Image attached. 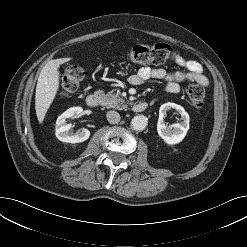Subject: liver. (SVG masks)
<instances>
[{
  "mask_svg": "<svg viewBox=\"0 0 247 247\" xmlns=\"http://www.w3.org/2000/svg\"><path fill=\"white\" fill-rule=\"evenodd\" d=\"M71 59V57H65L51 60L41 70L35 94V110L39 123L43 122L59 89V67Z\"/></svg>",
  "mask_w": 247,
  "mask_h": 247,
  "instance_id": "1",
  "label": "liver"
}]
</instances>
